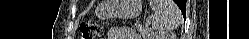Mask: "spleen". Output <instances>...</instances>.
<instances>
[{
  "label": "spleen",
  "mask_w": 249,
  "mask_h": 39,
  "mask_svg": "<svg viewBox=\"0 0 249 39\" xmlns=\"http://www.w3.org/2000/svg\"><path fill=\"white\" fill-rule=\"evenodd\" d=\"M149 4L154 12L151 18L152 28L155 30L153 36L163 39L164 34L172 30L175 24H179L181 12L171 0H150Z\"/></svg>",
  "instance_id": "spleen-1"
}]
</instances>
